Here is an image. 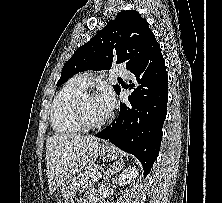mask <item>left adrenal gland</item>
I'll return each instance as SVG.
<instances>
[{
	"label": "left adrenal gland",
	"mask_w": 222,
	"mask_h": 203,
	"mask_svg": "<svg viewBox=\"0 0 222 203\" xmlns=\"http://www.w3.org/2000/svg\"><path fill=\"white\" fill-rule=\"evenodd\" d=\"M124 165H125L124 160H121V162L116 161L115 163H113V165H111L110 168H108L107 171L104 173V183L109 180L111 174L115 173L116 170L117 171L120 170L121 167Z\"/></svg>",
	"instance_id": "left-adrenal-gland-1"
}]
</instances>
